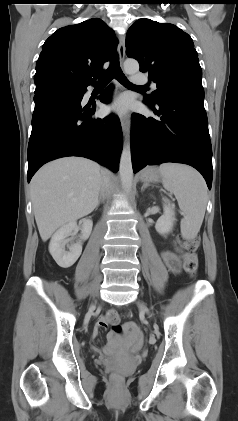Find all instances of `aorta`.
<instances>
[{
  "label": "aorta",
  "instance_id": "762f6f07",
  "mask_svg": "<svg viewBox=\"0 0 238 421\" xmlns=\"http://www.w3.org/2000/svg\"><path fill=\"white\" fill-rule=\"evenodd\" d=\"M124 71L127 74H134L139 71V63L135 59H127L124 62ZM119 172L122 187L125 192L129 193L132 188L133 182V168H132V159H131V150L130 144H127L123 147L121 157Z\"/></svg>",
  "mask_w": 238,
  "mask_h": 421
}]
</instances>
